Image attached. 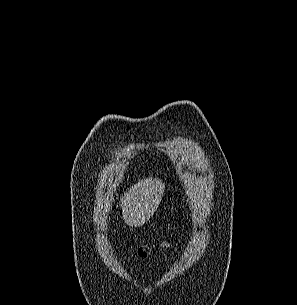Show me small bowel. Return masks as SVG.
Here are the masks:
<instances>
[{
	"mask_svg": "<svg viewBox=\"0 0 297 305\" xmlns=\"http://www.w3.org/2000/svg\"><path fill=\"white\" fill-rule=\"evenodd\" d=\"M160 246H162V247H169V246H170V243H169V241L164 240V241H161V242H160Z\"/></svg>",
	"mask_w": 297,
	"mask_h": 305,
	"instance_id": "obj_1",
	"label": "small bowel"
}]
</instances>
